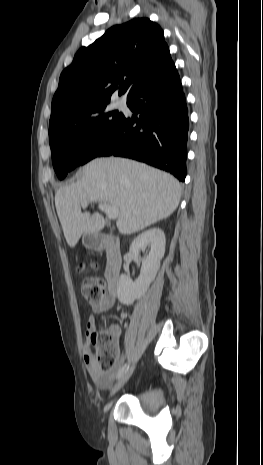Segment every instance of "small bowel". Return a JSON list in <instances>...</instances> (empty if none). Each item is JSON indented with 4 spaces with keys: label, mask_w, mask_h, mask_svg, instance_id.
Here are the masks:
<instances>
[{
    "label": "small bowel",
    "mask_w": 263,
    "mask_h": 465,
    "mask_svg": "<svg viewBox=\"0 0 263 465\" xmlns=\"http://www.w3.org/2000/svg\"><path fill=\"white\" fill-rule=\"evenodd\" d=\"M115 303V293L109 291L102 299L91 304L93 314L90 315L87 321V336H90L93 331L96 330L97 322L95 315L103 311H106L113 307ZM114 332L118 335L119 330L114 329ZM84 360L89 375L91 376L94 383L100 388H107L112 383L113 379L119 373L121 367L117 366L109 372H102L97 368L96 362L94 360L90 344L87 343L84 349Z\"/></svg>",
    "instance_id": "1"
}]
</instances>
